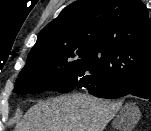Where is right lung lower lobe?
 Wrapping results in <instances>:
<instances>
[{
    "label": "right lung lower lobe",
    "instance_id": "obj_1",
    "mask_svg": "<svg viewBox=\"0 0 151 131\" xmlns=\"http://www.w3.org/2000/svg\"><path fill=\"white\" fill-rule=\"evenodd\" d=\"M76 88H84L89 94L100 98L117 99L126 95H135L151 102V78L142 80H79Z\"/></svg>",
    "mask_w": 151,
    "mask_h": 131
}]
</instances>
